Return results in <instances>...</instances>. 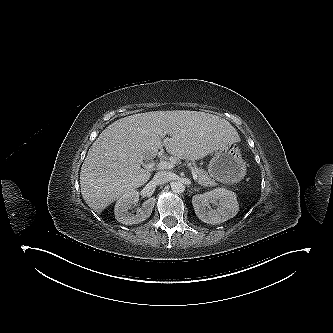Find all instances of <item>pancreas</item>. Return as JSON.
I'll return each mask as SVG.
<instances>
[{"instance_id": "cf45deb5", "label": "pancreas", "mask_w": 333, "mask_h": 333, "mask_svg": "<svg viewBox=\"0 0 333 333\" xmlns=\"http://www.w3.org/2000/svg\"><path fill=\"white\" fill-rule=\"evenodd\" d=\"M196 173L198 174V183L205 187L215 186L217 183L213 180L206 171L194 166Z\"/></svg>"}]
</instances>
